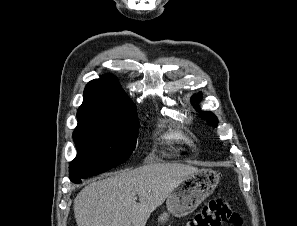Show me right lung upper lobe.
<instances>
[{
    "label": "right lung upper lobe",
    "instance_id": "right-lung-upper-lobe-1",
    "mask_svg": "<svg viewBox=\"0 0 297 226\" xmlns=\"http://www.w3.org/2000/svg\"><path fill=\"white\" fill-rule=\"evenodd\" d=\"M133 108L134 104L116 79L106 75L85 87L84 100L77 112L78 125H118L120 115Z\"/></svg>",
    "mask_w": 297,
    "mask_h": 226
}]
</instances>
